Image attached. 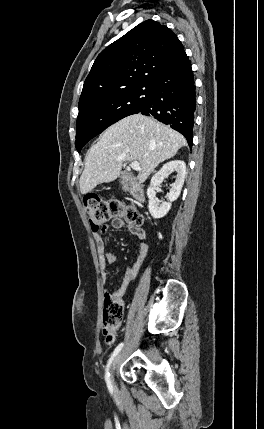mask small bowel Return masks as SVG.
<instances>
[{
  "label": "small bowel",
  "mask_w": 264,
  "mask_h": 429,
  "mask_svg": "<svg viewBox=\"0 0 264 429\" xmlns=\"http://www.w3.org/2000/svg\"><path fill=\"white\" fill-rule=\"evenodd\" d=\"M111 226L114 229H121V228L125 227L126 224L122 219L116 218V219L112 220ZM128 228L133 234H135L139 238V254H138V258H137L136 262L133 265H130L126 268L125 273H124L123 278H122V282L115 292V294L118 296L123 295L125 293L128 285H129V283L134 280L144 258L147 255V252H148V244L146 242L145 231L141 228H135L132 226H128ZM95 240H96V245H97V250H98V255H99V265L101 268L102 278L106 282V280H107L106 267L108 264H113L115 262L116 255L113 251L106 248L102 233L96 234ZM108 293H109V291L107 289H105V295Z\"/></svg>",
  "instance_id": "1"
}]
</instances>
